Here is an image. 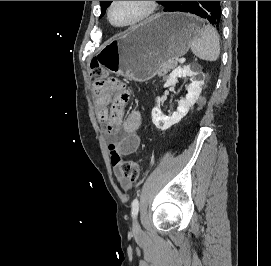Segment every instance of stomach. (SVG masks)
<instances>
[{"label": "stomach", "mask_w": 271, "mask_h": 266, "mask_svg": "<svg viewBox=\"0 0 271 266\" xmlns=\"http://www.w3.org/2000/svg\"><path fill=\"white\" fill-rule=\"evenodd\" d=\"M200 32L199 19L192 14H159L106 42L97 59L111 73L148 81L162 63L185 55Z\"/></svg>", "instance_id": "0dacf381"}]
</instances>
